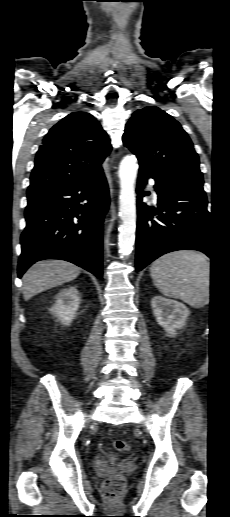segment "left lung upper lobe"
<instances>
[{
    "label": "left lung upper lobe",
    "instance_id": "1",
    "mask_svg": "<svg viewBox=\"0 0 230 517\" xmlns=\"http://www.w3.org/2000/svg\"><path fill=\"white\" fill-rule=\"evenodd\" d=\"M123 143L139 160L140 170L183 185L203 186L199 158L181 125L158 107L133 113Z\"/></svg>",
    "mask_w": 230,
    "mask_h": 517
}]
</instances>
